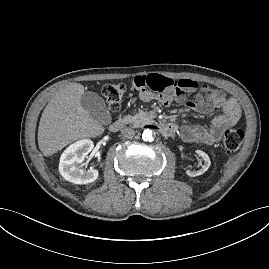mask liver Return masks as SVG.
I'll use <instances>...</instances> for the list:
<instances>
[{
  "label": "liver",
  "instance_id": "liver-1",
  "mask_svg": "<svg viewBox=\"0 0 269 269\" xmlns=\"http://www.w3.org/2000/svg\"><path fill=\"white\" fill-rule=\"evenodd\" d=\"M83 94L82 84L71 83L46 105L38 128V145L44 156H51L74 141L104 132V127L81 106Z\"/></svg>",
  "mask_w": 269,
  "mask_h": 269
}]
</instances>
